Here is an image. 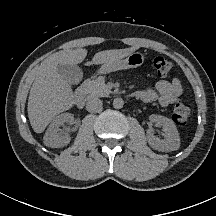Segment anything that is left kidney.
<instances>
[{"instance_id": "1", "label": "left kidney", "mask_w": 216, "mask_h": 216, "mask_svg": "<svg viewBox=\"0 0 216 216\" xmlns=\"http://www.w3.org/2000/svg\"><path fill=\"white\" fill-rule=\"evenodd\" d=\"M149 120L156 125L162 126L165 135L164 139H159L155 137L152 133H148V143L149 145L158 151L169 152L178 150L180 147V137L178 130L173 123L167 117L161 115L152 114L149 116Z\"/></svg>"}]
</instances>
